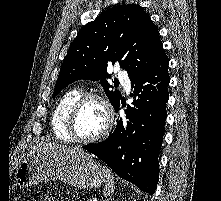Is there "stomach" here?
Masks as SVG:
<instances>
[{
	"instance_id": "obj_1",
	"label": "stomach",
	"mask_w": 221,
	"mask_h": 201,
	"mask_svg": "<svg viewBox=\"0 0 221 201\" xmlns=\"http://www.w3.org/2000/svg\"><path fill=\"white\" fill-rule=\"evenodd\" d=\"M14 178L20 187L61 180L74 187L88 189L100 187L106 181V172L86 152L59 154L37 151L21 161Z\"/></svg>"
}]
</instances>
